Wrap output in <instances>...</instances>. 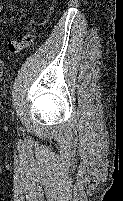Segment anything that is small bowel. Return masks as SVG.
Instances as JSON below:
<instances>
[{
    "mask_svg": "<svg viewBox=\"0 0 123 201\" xmlns=\"http://www.w3.org/2000/svg\"><path fill=\"white\" fill-rule=\"evenodd\" d=\"M2 9H3V6L0 1V13L2 12ZM32 42H33V36L31 34H27L21 40L14 38L11 41L9 48L10 50L14 52H20L24 48H27L28 46H30Z\"/></svg>",
    "mask_w": 123,
    "mask_h": 201,
    "instance_id": "1",
    "label": "small bowel"
}]
</instances>
